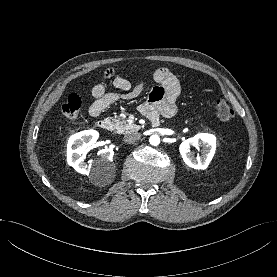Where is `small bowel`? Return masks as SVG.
Segmentation results:
<instances>
[{"label": "small bowel", "mask_w": 277, "mask_h": 277, "mask_svg": "<svg viewBox=\"0 0 277 277\" xmlns=\"http://www.w3.org/2000/svg\"><path fill=\"white\" fill-rule=\"evenodd\" d=\"M104 80L97 83L91 91L94 98L89 107V114L98 117L105 109L115 102L132 99L146 91V83L141 81L132 84L128 79L115 75L112 70H107ZM153 79L159 86L154 87L148 100L140 106V112L152 119L159 117H172L177 111V99L180 94V84L176 76L167 68L157 69ZM109 82L117 92H107Z\"/></svg>", "instance_id": "c3829d8e"}]
</instances>
